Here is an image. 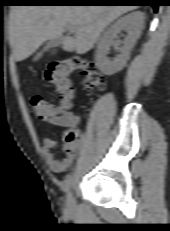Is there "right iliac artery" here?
I'll list each match as a JSON object with an SVG mask.
<instances>
[{
	"label": "right iliac artery",
	"instance_id": "1",
	"mask_svg": "<svg viewBox=\"0 0 170 231\" xmlns=\"http://www.w3.org/2000/svg\"><path fill=\"white\" fill-rule=\"evenodd\" d=\"M72 182H73V176L69 175V177L67 178V181H66V185H65L67 192H69V190L72 186Z\"/></svg>",
	"mask_w": 170,
	"mask_h": 231
}]
</instances>
